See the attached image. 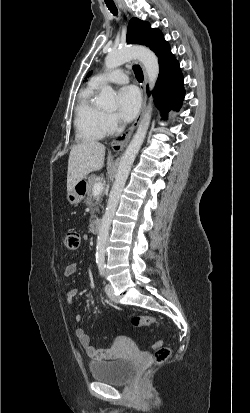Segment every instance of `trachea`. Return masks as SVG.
<instances>
[{"instance_id":"1","label":"trachea","mask_w":250,"mask_h":413,"mask_svg":"<svg viewBox=\"0 0 250 413\" xmlns=\"http://www.w3.org/2000/svg\"><path fill=\"white\" fill-rule=\"evenodd\" d=\"M106 5H107L108 9L110 10V12L113 15L116 16L118 14L117 7L114 3H106ZM133 71H134V74L136 76V79L139 82H142L143 81V71H142L141 67L139 65H134L133 66Z\"/></svg>"}]
</instances>
